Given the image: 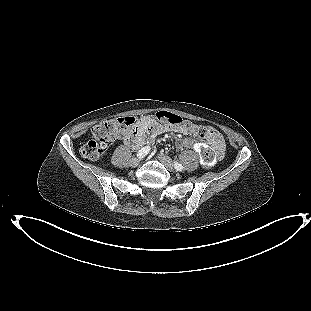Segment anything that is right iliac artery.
<instances>
[{
  "label": "right iliac artery",
  "instance_id": "obj_1",
  "mask_svg": "<svg viewBox=\"0 0 311 311\" xmlns=\"http://www.w3.org/2000/svg\"><path fill=\"white\" fill-rule=\"evenodd\" d=\"M150 151V147L146 146V147H143L141 150H139V152L137 153V156L139 158H143L145 157Z\"/></svg>",
  "mask_w": 311,
  "mask_h": 311
}]
</instances>
